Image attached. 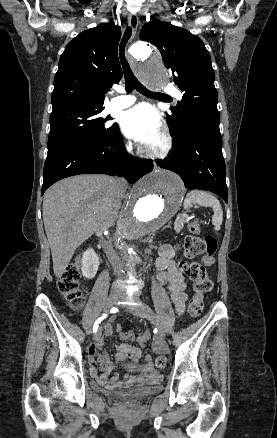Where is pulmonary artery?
<instances>
[{
    "label": "pulmonary artery",
    "mask_w": 277,
    "mask_h": 438,
    "mask_svg": "<svg viewBox=\"0 0 277 438\" xmlns=\"http://www.w3.org/2000/svg\"><path fill=\"white\" fill-rule=\"evenodd\" d=\"M122 92L124 96H132L134 91L132 87H124ZM134 102L135 99L132 97H118L112 101L111 105L115 110H122L130 107Z\"/></svg>",
    "instance_id": "e3ab8cb5"
}]
</instances>
